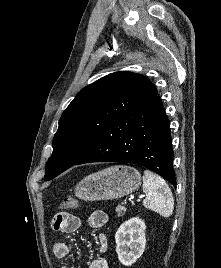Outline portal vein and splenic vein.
Returning a JSON list of instances; mask_svg holds the SVG:
<instances>
[{
    "instance_id": "portal-vein-and-splenic-vein-1",
    "label": "portal vein and splenic vein",
    "mask_w": 221,
    "mask_h": 268,
    "mask_svg": "<svg viewBox=\"0 0 221 268\" xmlns=\"http://www.w3.org/2000/svg\"><path fill=\"white\" fill-rule=\"evenodd\" d=\"M143 196H141L140 198H142ZM138 201H140V200H138ZM132 204H133V201H132Z\"/></svg>"
}]
</instances>
